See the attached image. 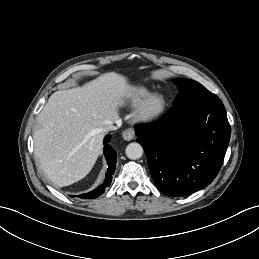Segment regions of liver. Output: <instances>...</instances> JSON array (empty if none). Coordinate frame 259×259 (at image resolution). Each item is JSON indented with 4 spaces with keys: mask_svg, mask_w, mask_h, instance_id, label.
Segmentation results:
<instances>
[{
    "mask_svg": "<svg viewBox=\"0 0 259 259\" xmlns=\"http://www.w3.org/2000/svg\"><path fill=\"white\" fill-rule=\"evenodd\" d=\"M135 91L127 78L108 72L81 87L54 92L38 115L34 153L47 178L59 187L83 179L102 150L103 127Z\"/></svg>",
    "mask_w": 259,
    "mask_h": 259,
    "instance_id": "obj_1",
    "label": "liver"
}]
</instances>
